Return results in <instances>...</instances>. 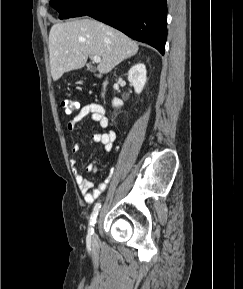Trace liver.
<instances>
[{
    "instance_id": "liver-1",
    "label": "liver",
    "mask_w": 243,
    "mask_h": 289,
    "mask_svg": "<svg viewBox=\"0 0 243 289\" xmlns=\"http://www.w3.org/2000/svg\"><path fill=\"white\" fill-rule=\"evenodd\" d=\"M138 44L119 30L89 18L56 23L49 33L51 75L57 81L64 73L85 66L88 56H100V73L138 52Z\"/></svg>"
}]
</instances>
